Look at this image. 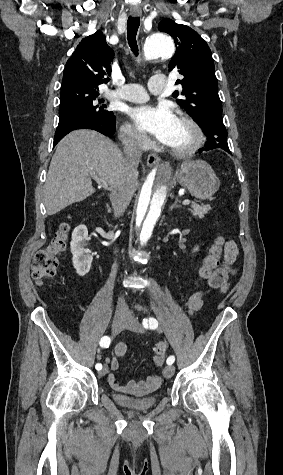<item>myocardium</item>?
<instances>
[{"mask_svg": "<svg viewBox=\"0 0 283 475\" xmlns=\"http://www.w3.org/2000/svg\"><path fill=\"white\" fill-rule=\"evenodd\" d=\"M179 118L182 119L193 131V140L191 143L180 150H174L164 144L167 152L174 158L185 159L193 156L202 147L205 140V133L199 122L191 115L185 112H179Z\"/></svg>", "mask_w": 283, "mask_h": 475, "instance_id": "obj_1", "label": "myocardium"}]
</instances>
